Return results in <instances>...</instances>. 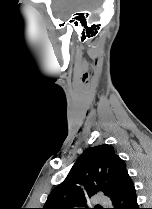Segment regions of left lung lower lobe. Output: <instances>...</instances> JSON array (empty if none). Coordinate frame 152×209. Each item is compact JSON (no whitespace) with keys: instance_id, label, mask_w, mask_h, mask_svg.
<instances>
[{"instance_id":"1","label":"left lung lower lobe","mask_w":152,"mask_h":209,"mask_svg":"<svg viewBox=\"0 0 152 209\" xmlns=\"http://www.w3.org/2000/svg\"><path fill=\"white\" fill-rule=\"evenodd\" d=\"M111 201L114 206L112 209H139L134 183L130 177Z\"/></svg>"}]
</instances>
